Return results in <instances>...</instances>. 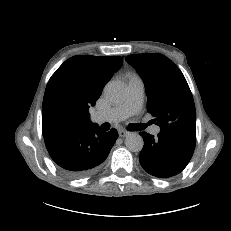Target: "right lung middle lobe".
Listing matches in <instances>:
<instances>
[{
  "label": "right lung middle lobe",
  "instance_id": "right-lung-middle-lobe-1",
  "mask_svg": "<svg viewBox=\"0 0 231 231\" xmlns=\"http://www.w3.org/2000/svg\"><path fill=\"white\" fill-rule=\"evenodd\" d=\"M81 107L72 99L64 82L46 88L42 105V132L49 135L73 130Z\"/></svg>",
  "mask_w": 231,
  "mask_h": 231
}]
</instances>
